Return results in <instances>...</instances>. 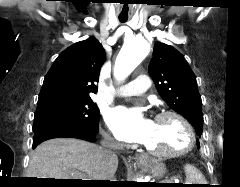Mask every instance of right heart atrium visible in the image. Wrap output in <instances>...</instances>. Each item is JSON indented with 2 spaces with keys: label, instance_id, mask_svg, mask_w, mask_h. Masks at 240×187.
<instances>
[{
  "label": "right heart atrium",
  "instance_id": "1",
  "mask_svg": "<svg viewBox=\"0 0 240 187\" xmlns=\"http://www.w3.org/2000/svg\"><path fill=\"white\" fill-rule=\"evenodd\" d=\"M103 137H104V140L106 141V143H108L110 145H114V146H118L119 145L118 141L109 132H105L103 134Z\"/></svg>",
  "mask_w": 240,
  "mask_h": 187
}]
</instances>
